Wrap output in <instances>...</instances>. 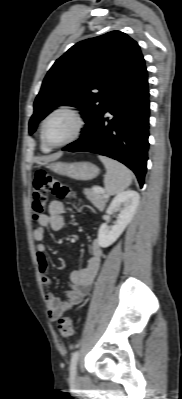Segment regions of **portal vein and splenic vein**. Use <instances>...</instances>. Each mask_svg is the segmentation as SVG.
Here are the masks:
<instances>
[{
	"instance_id": "portal-vein-and-splenic-vein-1",
	"label": "portal vein and splenic vein",
	"mask_w": 182,
	"mask_h": 399,
	"mask_svg": "<svg viewBox=\"0 0 182 399\" xmlns=\"http://www.w3.org/2000/svg\"><path fill=\"white\" fill-rule=\"evenodd\" d=\"M95 190H96V191H100V192H102V193L105 192L104 189H102V188H100V187L95 188Z\"/></svg>"
}]
</instances>
